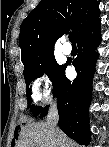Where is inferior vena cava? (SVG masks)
Masks as SVG:
<instances>
[{"instance_id": "1", "label": "inferior vena cava", "mask_w": 109, "mask_h": 147, "mask_svg": "<svg viewBox=\"0 0 109 147\" xmlns=\"http://www.w3.org/2000/svg\"><path fill=\"white\" fill-rule=\"evenodd\" d=\"M59 120V114L56 106L51 107L47 115V126L52 132L57 129V124Z\"/></svg>"}]
</instances>
